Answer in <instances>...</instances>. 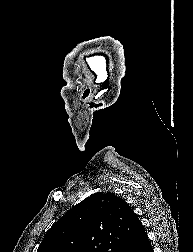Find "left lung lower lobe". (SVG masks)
I'll use <instances>...</instances> for the list:
<instances>
[{
  "mask_svg": "<svg viewBox=\"0 0 193 252\" xmlns=\"http://www.w3.org/2000/svg\"><path fill=\"white\" fill-rule=\"evenodd\" d=\"M123 252H153V248L141 222L136 226Z\"/></svg>",
  "mask_w": 193,
  "mask_h": 252,
  "instance_id": "obj_1",
  "label": "left lung lower lobe"
}]
</instances>
